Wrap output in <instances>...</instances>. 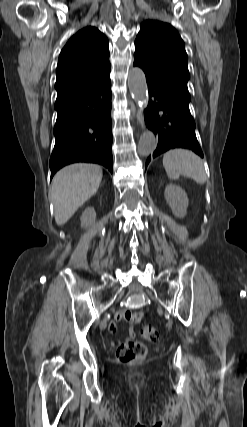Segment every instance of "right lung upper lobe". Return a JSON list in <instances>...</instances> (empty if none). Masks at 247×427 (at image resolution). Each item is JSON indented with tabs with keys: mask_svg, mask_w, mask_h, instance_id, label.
<instances>
[{
	"mask_svg": "<svg viewBox=\"0 0 247 427\" xmlns=\"http://www.w3.org/2000/svg\"><path fill=\"white\" fill-rule=\"evenodd\" d=\"M108 39L95 27L78 31L62 49L58 66L57 99L99 85L109 78Z\"/></svg>",
	"mask_w": 247,
	"mask_h": 427,
	"instance_id": "obj_1",
	"label": "right lung upper lobe"
}]
</instances>
